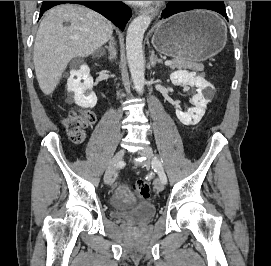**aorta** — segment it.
Returning <instances> with one entry per match:
<instances>
[{"instance_id":"762f6f07","label":"aorta","mask_w":271,"mask_h":266,"mask_svg":"<svg viewBox=\"0 0 271 266\" xmlns=\"http://www.w3.org/2000/svg\"><path fill=\"white\" fill-rule=\"evenodd\" d=\"M151 23V17L140 15L128 27L126 36V54L131 78L136 91L142 94L145 85L144 57L142 42L144 33Z\"/></svg>"}]
</instances>
